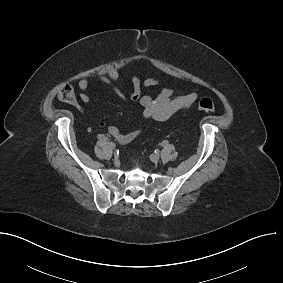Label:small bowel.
I'll return each mask as SVG.
<instances>
[{"label":"small bowel","instance_id":"obj_1","mask_svg":"<svg viewBox=\"0 0 283 283\" xmlns=\"http://www.w3.org/2000/svg\"><path fill=\"white\" fill-rule=\"evenodd\" d=\"M98 80L109 86L114 93L122 100L138 101L143 107V117L157 122H164L180 111L189 109L197 100L195 93L175 94L170 88L162 89L157 95L142 94L143 88H151L159 83V79L155 75H151L145 80H141L137 74L131 77L132 90L127 95L121 87L119 72L116 69L109 70L106 74L98 77ZM90 81L81 79L78 87L82 91L80 100L82 103L89 102V96L84 92L88 89ZM99 124L98 126H101ZM110 136L115 138L120 144H128L134 141L142 133L141 129H136L127 133H123L118 127L110 126L108 128Z\"/></svg>","mask_w":283,"mask_h":283}]
</instances>
